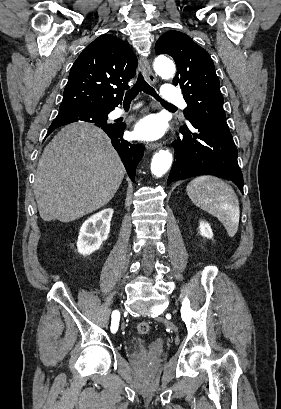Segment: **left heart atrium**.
Here are the masks:
<instances>
[{
	"mask_svg": "<svg viewBox=\"0 0 281 409\" xmlns=\"http://www.w3.org/2000/svg\"><path fill=\"white\" fill-rule=\"evenodd\" d=\"M165 133V123L157 114L140 118L133 130V136L140 141H155Z\"/></svg>",
	"mask_w": 281,
	"mask_h": 409,
	"instance_id": "39dd6f15",
	"label": "left heart atrium"
}]
</instances>
